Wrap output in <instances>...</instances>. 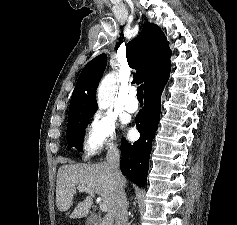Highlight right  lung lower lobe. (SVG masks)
Returning a JSON list of instances; mask_svg holds the SVG:
<instances>
[{
    "mask_svg": "<svg viewBox=\"0 0 237 225\" xmlns=\"http://www.w3.org/2000/svg\"><path fill=\"white\" fill-rule=\"evenodd\" d=\"M166 82L167 80L144 93V107L135 119L137 129L141 134L140 139L133 144L126 141L125 138L121 140V172L138 186L147 184L149 156L160 119L161 94Z\"/></svg>",
    "mask_w": 237,
    "mask_h": 225,
    "instance_id": "1",
    "label": "right lung lower lobe"
}]
</instances>
